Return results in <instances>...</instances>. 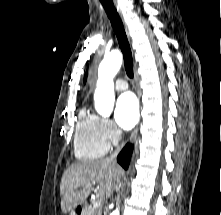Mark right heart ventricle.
<instances>
[{"mask_svg": "<svg viewBox=\"0 0 221 215\" xmlns=\"http://www.w3.org/2000/svg\"><path fill=\"white\" fill-rule=\"evenodd\" d=\"M108 150V143L100 130V119L88 109L82 108L78 115L74 134V152L79 160L101 158Z\"/></svg>", "mask_w": 221, "mask_h": 215, "instance_id": "e07e8e85", "label": "right heart ventricle"}]
</instances>
